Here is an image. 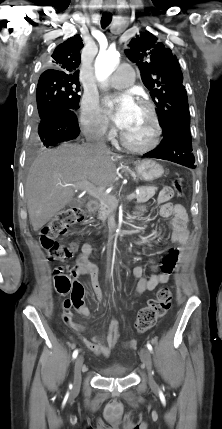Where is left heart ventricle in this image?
Listing matches in <instances>:
<instances>
[{
    "label": "left heart ventricle",
    "mask_w": 222,
    "mask_h": 429,
    "mask_svg": "<svg viewBox=\"0 0 222 429\" xmlns=\"http://www.w3.org/2000/svg\"><path fill=\"white\" fill-rule=\"evenodd\" d=\"M151 127V120L147 110L137 104L128 125L123 131L133 143L141 145L150 140Z\"/></svg>",
    "instance_id": "1"
}]
</instances>
